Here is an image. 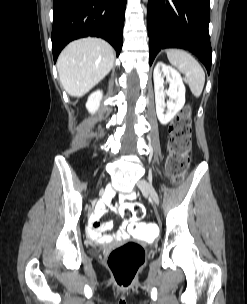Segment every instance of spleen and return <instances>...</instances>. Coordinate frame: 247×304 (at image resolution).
Here are the masks:
<instances>
[{
  "mask_svg": "<svg viewBox=\"0 0 247 304\" xmlns=\"http://www.w3.org/2000/svg\"><path fill=\"white\" fill-rule=\"evenodd\" d=\"M169 62L185 75V81L195 97H199L205 84V73L198 61L181 49L167 51Z\"/></svg>",
  "mask_w": 247,
  "mask_h": 304,
  "instance_id": "1",
  "label": "spleen"
}]
</instances>
